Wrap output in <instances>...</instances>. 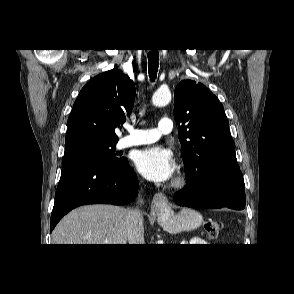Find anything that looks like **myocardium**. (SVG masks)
<instances>
[{
  "label": "myocardium",
  "instance_id": "1",
  "mask_svg": "<svg viewBox=\"0 0 294 294\" xmlns=\"http://www.w3.org/2000/svg\"><path fill=\"white\" fill-rule=\"evenodd\" d=\"M186 182V177L183 174H181L174 180L172 186L175 189H182L186 185Z\"/></svg>",
  "mask_w": 294,
  "mask_h": 294
}]
</instances>
